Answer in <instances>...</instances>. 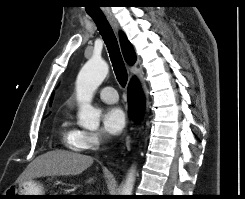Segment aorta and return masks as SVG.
<instances>
[{"label":"aorta","instance_id":"aorta-1","mask_svg":"<svg viewBox=\"0 0 245 199\" xmlns=\"http://www.w3.org/2000/svg\"><path fill=\"white\" fill-rule=\"evenodd\" d=\"M109 72L108 64L97 58H91L80 70L76 81L77 100L79 102L78 123L87 129H97L100 124V112L91 105L92 95L101 85ZM135 182V168H131L122 189V195H132Z\"/></svg>","mask_w":245,"mask_h":199}]
</instances>
